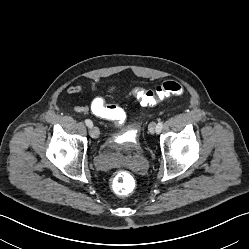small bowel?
<instances>
[{"label": "small bowel", "instance_id": "c3829d8e", "mask_svg": "<svg viewBox=\"0 0 249 249\" xmlns=\"http://www.w3.org/2000/svg\"><path fill=\"white\" fill-rule=\"evenodd\" d=\"M98 88L97 81H92L89 85L91 92H95ZM68 94L83 95L84 88L79 85H69L66 89ZM74 112L78 114H84L87 112L93 113L95 116L103 119H109L116 122H122L125 120L124 111L116 105L108 104L102 97H94L89 103L77 105L74 107ZM116 113L111 116V114Z\"/></svg>", "mask_w": 249, "mask_h": 249}]
</instances>
